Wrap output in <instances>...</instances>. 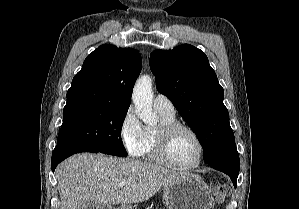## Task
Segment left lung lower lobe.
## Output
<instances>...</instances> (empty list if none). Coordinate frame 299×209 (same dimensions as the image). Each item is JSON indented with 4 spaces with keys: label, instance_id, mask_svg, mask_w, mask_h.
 <instances>
[{
    "label": "left lung lower lobe",
    "instance_id": "obj_1",
    "mask_svg": "<svg viewBox=\"0 0 299 209\" xmlns=\"http://www.w3.org/2000/svg\"><path fill=\"white\" fill-rule=\"evenodd\" d=\"M239 163V154L235 141H233L226 145L224 149L216 155L209 166L227 174L231 178L234 187H236L240 169Z\"/></svg>",
    "mask_w": 299,
    "mask_h": 209
}]
</instances>
